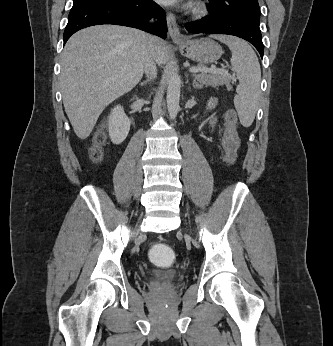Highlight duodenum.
Masks as SVG:
<instances>
[{"label":"duodenum","mask_w":333,"mask_h":346,"mask_svg":"<svg viewBox=\"0 0 333 346\" xmlns=\"http://www.w3.org/2000/svg\"><path fill=\"white\" fill-rule=\"evenodd\" d=\"M136 99H137L136 97H133L132 102L134 103L136 101Z\"/></svg>","instance_id":"410a0bca"}]
</instances>
